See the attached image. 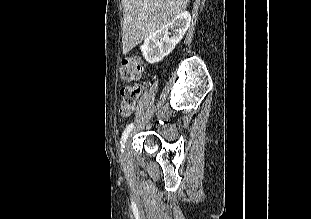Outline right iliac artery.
I'll return each instance as SVG.
<instances>
[{"mask_svg":"<svg viewBox=\"0 0 311 219\" xmlns=\"http://www.w3.org/2000/svg\"><path fill=\"white\" fill-rule=\"evenodd\" d=\"M133 127H134V124L131 123L130 125H128L125 128V130H124V132L122 134L121 142H120L121 143V148H124V144L126 142V139H127L128 135H129V133H130V131L132 130Z\"/></svg>","mask_w":311,"mask_h":219,"instance_id":"1","label":"right iliac artery"}]
</instances>
